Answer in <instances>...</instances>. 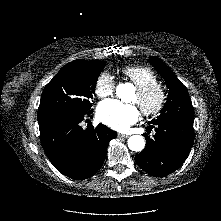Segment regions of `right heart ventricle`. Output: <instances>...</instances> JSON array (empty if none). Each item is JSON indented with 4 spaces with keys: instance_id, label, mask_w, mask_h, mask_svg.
<instances>
[{
    "instance_id": "obj_1",
    "label": "right heart ventricle",
    "mask_w": 221,
    "mask_h": 221,
    "mask_svg": "<svg viewBox=\"0 0 221 221\" xmlns=\"http://www.w3.org/2000/svg\"><path fill=\"white\" fill-rule=\"evenodd\" d=\"M121 71L124 77L132 82L136 88L158 83L156 73L147 66H125Z\"/></svg>"
}]
</instances>
